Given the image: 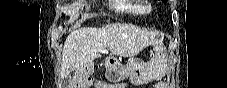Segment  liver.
Listing matches in <instances>:
<instances>
[{
  "label": "liver",
  "mask_w": 227,
  "mask_h": 88,
  "mask_svg": "<svg viewBox=\"0 0 227 88\" xmlns=\"http://www.w3.org/2000/svg\"><path fill=\"white\" fill-rule=\"evenodd\" d=\"M157 36L156 32L125 23L80 28L66 38L60 74L64 77L92 64L107 50L113 55L135 56L147 46L161 43Z\"/></svg>",
  "instance_id": "liver-1"
}]
</instances>
